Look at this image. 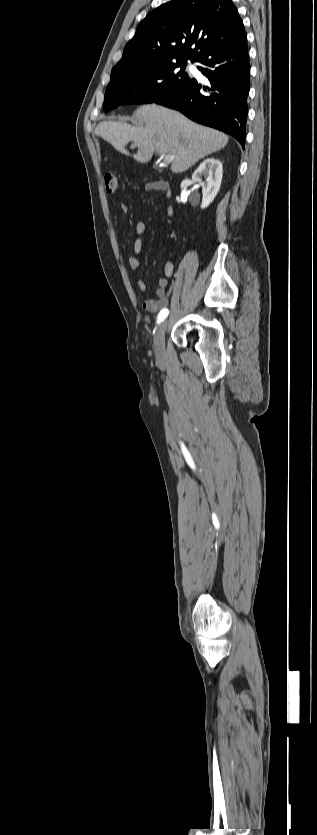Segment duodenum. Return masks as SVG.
Listing matches in <instances>:
<instances>
[{
	"mask_svg": "<svg viewBox=\"0 0 317 835\" xmlns=\"http://www.w3.org/2000/svg\"><path fill=\"white\" fill-rule=\"evenodd\" d=\"M157 186H158V189L160 191H162L165 194L166 197H170L171 191H170V188H169V186L166 182L159 181V182H157Z\"/></svg>",
	"mask_w": 317,
	"mask_h": 835,
	"instance_id": "obj_1",
	"label": "duodenum"
}]
</instances>
